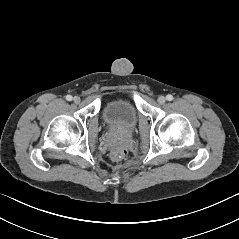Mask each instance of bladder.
<instances>
[{"label":"bladder","mask_w":239,"mask_h":239,"mask_svg":"<svg viewBox=\"0 0 239 239\" xmlns=\"http://www.w3.org/2000/svg\"><path fill=\"white\" fill-rule=\"evenodd\" d=\"M105 124L113 131L132 132L138 121V113L134 104L127 99L108 101L102 110Z\"/></svg>","instance_id":"obj_1"}]
</instances>
